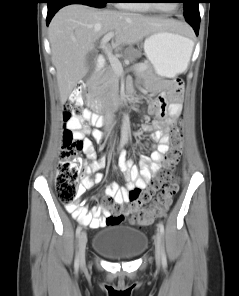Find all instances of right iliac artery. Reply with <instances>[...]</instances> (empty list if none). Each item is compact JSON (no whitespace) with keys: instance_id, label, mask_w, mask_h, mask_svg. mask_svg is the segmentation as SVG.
<instances>
[{"instance_id":"obj_1","label":"right iliac artery","mask_w":239,"mask_h":296,"mask_svg":"<svg viewBox=\"0 0 239 296\" xmlns=\"http://www.w3.org/2000/svg\"><path fill=\"white\" fill-rule=\"evenodd\" d=\"M123 148V145L121 144L120 147H119V150H121ZM81 225H79L76 229V235L77 237L79 236L80 232H81ZM74 267H75V270H78L79 268V257L78 255H76V258H75V263H74Z\"/></svg>"}]
</instances>
